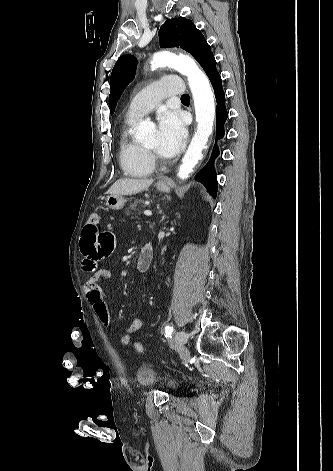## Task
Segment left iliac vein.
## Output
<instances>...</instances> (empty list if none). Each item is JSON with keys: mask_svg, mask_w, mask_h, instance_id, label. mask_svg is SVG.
Segmentation results:
<instances>
[{"mask_svg": "<svg viewBox=\"0 0 333 471\" xmlns=\"http://www.w3.org/2000/svg\"><path fill=\"white\" fill-rule=\"evenodd\" d=\"M189 336L185 331H179L175 334V346L178 348L181 354L186 353V344Z\"/></svg>", "mask_w": 333, "mask_h": 471, "instance_id": "left-iliac-vein-1", "label": "left iliac vein"}]
</instances>
